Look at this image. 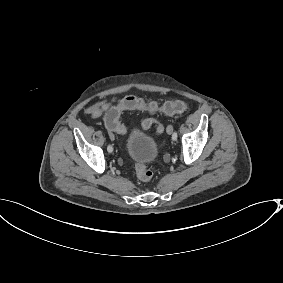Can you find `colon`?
Returning <instances> with one entry per match:
<instances>
[{"instance_id":"1","label":"colon","mask_w":283,"mask_h":283,"mask_svg":"<svg viewBox=\"0 0 283 283\" xmlns=\"http://www.w3.org/2000/svg\"><path fill=\"white\" fill-rule=\"evenodd\" d=\"M188 104L182 100L167 101L162 105L155 102L147 103L137 97H126L114 108L108 110L104 117L105 127L116 133H124L125 128L120 122V115L124 110H143L150 113L162 112L168 115L185 112ZM156 126L158 132L162 131V125L154 118H147L142 122L143 128ZM137 178L142 182H149L153 178V172L144 163H136L134 166Z\"/></svg>"}]
</instances>
